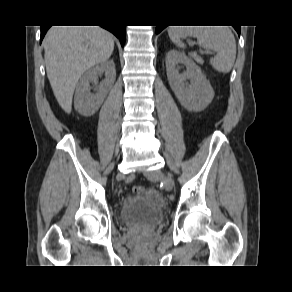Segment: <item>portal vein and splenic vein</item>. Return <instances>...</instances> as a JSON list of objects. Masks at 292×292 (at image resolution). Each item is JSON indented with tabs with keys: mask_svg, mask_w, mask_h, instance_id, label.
I'll return each instance as SVG.
<instances>
[{
	"mask_svg": "<svg viewBox=\"0 0 292 292\" xmlns=\"http://www.w3.org/2000/svg\"><path fill=\"white\" fill-rule=\"evenodd\" d=\"M203 53H205V54H208L209 52L208 51H202Z\"/></svg>",
	"mask_w": 292,
	"mask_h": 292,
	"instance_id": "18ae733b",
	"label": "portal vein and splenic vein"
}]
</instances>
